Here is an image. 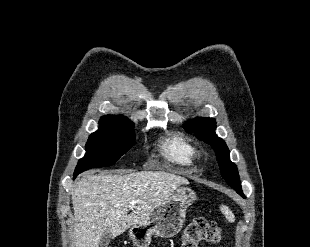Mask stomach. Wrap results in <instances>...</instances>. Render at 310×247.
<instances>
[{
    "label": "stomach",
    "mask_w": 310,
    "mask_h": 247,
    "mask_svg": "<svg viewBox=\"0 0 310 247\" xmlns=\"http://www.w3.org/2000/svg\"><path fill=\"white\" fill-rule=\"evenodd\" d=\"M197 200L196 193L187 186L180 185L175 192L159 203L142 222L134 224L129 237L136 247H148L152 235L171 238L181 230L186 210Z\"/></svg>",
    "instance_id": "stomach-1"
}]
</instances>
